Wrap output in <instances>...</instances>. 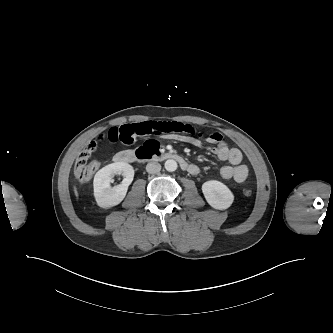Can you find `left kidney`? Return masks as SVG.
<instances>
[{"label": "left kidney", "mask_w": 333, "mask_h": 333, "mask_svg": "<svg viewBox=\"0 0 333 333\" xmlns=\"http://www.w3.org/2000/svg\"><path fill=\"white\" fill-rule=\"evenodd\" d=\"M202 192L208 204L218 210L229 208L234 200L231 190L217 180H210L203 183Z\"/></svg>", "instance_id": "left-kidney-1"}]
</instances>
